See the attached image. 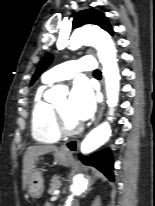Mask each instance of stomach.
Instances as JSON below:
<instances>
[{"label": "stomach", "mask_w": 155, "mask_h": 206, "mask_svg": "<svg viewBox=\"0 0 155 206\" xmlns=\"http://www.w3.org/2000/svg\"><path fill=\"white\" fill-rule=\"evenodd\" d=\"M55 159L62 165H69L73 162V156L68 151L63 149L56 150L54 153ZM28 193L32 198H40L44 190V180L42 174L38 170H34L27 183Z\"/></svg>", "instance_id": "1"}]
</instances>
